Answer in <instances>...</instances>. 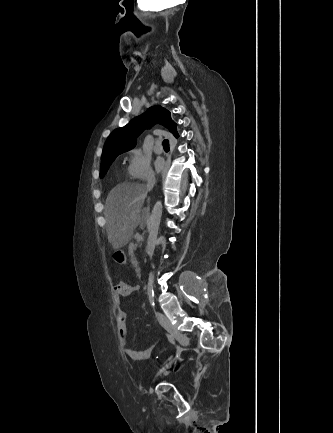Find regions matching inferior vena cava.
<instances>
[{
  "instance_id": "602c4592",
  "label": "inferior vena cava",
  "mask_w": 333,
  "mask_h": 433,
  "mask_svg": "<svg viewBox=\"0 0 333 433\" xmlns=\"http://www.w3.org/2000/svg\"><path fill=\"white\" fill-rule=\"evenodd\" d=\"M155 183H156V179H155L154 173L153 172H149L148 176H147L146 188L148 190H152L153 187H154V185H155ZM156 318H157V320L159 322L166 320L165 316L163 314H161V313H158V312L156 313Z\"/></svg>"
}]
</instances>
